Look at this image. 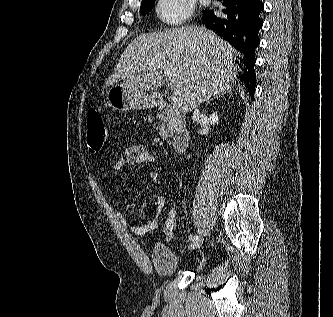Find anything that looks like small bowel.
I'll list each match as a JSON object with an SVG mask.
<instances>
[{"instance_id":"obj_1","label":"small bowel","mask_w":333,"mask_h":317,"mask_svg":"<svg viewBox=\"0 0 333 317\" xmlns=\"http://www.w3.org/2000/svg\"><path fill=\"white\" fill-rule=\"evenodd\" d=\"M154 160V156L145 145L134 144L123 150L122 154L113 164V170L119 171L120 169L133 164H150L154 162ZM167 205L168 202L164 196H157L152 217L148 222L142 225H132L129 224L123 216H120L121 224L130 232L139 236L155 231L159 227V216Z\"/></svg>"}]
</instances>
